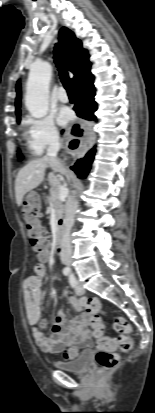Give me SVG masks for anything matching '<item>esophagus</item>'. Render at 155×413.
<instances>
[{
  "instance_id": "esophagus-1",
  "label": "esophagus",
  "mask_w": 155,
  "mask_h": 413,
  "mask_svg": "<svg viewBox=\"0 0 155 413\" xmlns=\"http://www.w3.org/2000/svg\"><path fill=\"white\" fill-rule=\"evenodd\" d=\"M87 150H88V146L85 144V145H84V150L80 153L79 156H83L84 153H85Z\"/></svg>"
}]
</instances>
